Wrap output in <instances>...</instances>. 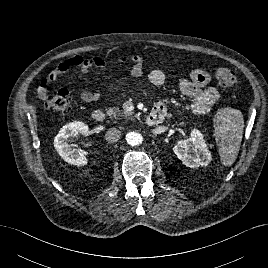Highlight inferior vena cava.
Returning <instances> with one entry per match:
<instances>
[{"mask_svg":"<svg viewBox=\"0 0 268 268\" xmlns=\"http://www.w3.org/2000/svg\"><path fill=\"white\" fill-rule=\"evenodd\" d=\"M121 137V131L116 128H110L105 134V139L109 143H115L117 142Z\"/></svg>","mask_w":268,"mask_h":268,"instance_id":"602c4592","label":"inferior vena cava"}]
</instances>
